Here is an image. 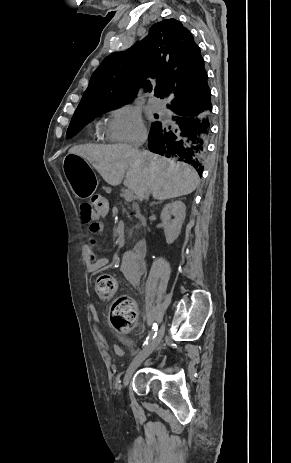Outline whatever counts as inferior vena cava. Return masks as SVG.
<instances>
[{
  "label": "inferior vena cava",
  "instance_id": "1",
  "mask_svg": "<svg viewBox=\"0 0 291 463\" xmlns=\"http://www.w3.org/2000/svg\"><path fill=\"white\" fill-rule=\"evenodd\" d=\"M147 137L144 136L142 137L136 144H135V150L138 151V147L142 146V144L146 141ZM149 195H150V192L149 190H145V193H144V198L146 200L149 199Z\"/></svg>",
  "mask_w": 291,
  "mask_h": 463
}]
</instances>
